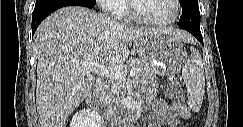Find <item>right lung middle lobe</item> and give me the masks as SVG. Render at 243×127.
I'll use <instances>...</instances> for the list:
<instances>
[{"mask_svg": "<svg viewBox=\"0 0 243 127\" xmlns=\"http://www.w3.org/2000/svg\"><path fill=\"white\" fill-rule=\"evenodd\" d=\"M93 5H95V0H89Z\"/></svg>", "mask_w": 243, "mask_h": 127, "instance_id": "right-lung-middle-lobe-1", "label": "right lung middle lobe"}]
</instances>
